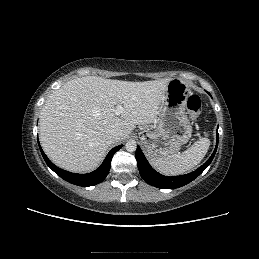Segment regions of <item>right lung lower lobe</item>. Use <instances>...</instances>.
I'll return each mask as SVG.
<instances>
[{"instance_id":"obj_1","label":"right lung lower lobe","mask_w":259,"mask_h":259,"mask_svg":"<svg viewBox=\"0 0 259 259\" xmlns=\"http://www.w3.org/2000/svg\"><path fill=\"white\" fill-rule=\"evenodd\" d=\"M38 144H39V142H38ZM39 147H40V151L42 153V156H43L45 162L47 163L49 168L52 169L57 175H59L61 178H63L64 180H66L67 182H70L72 184L82 186V187H88V186L99 184L106 178V176L109 173L110 167H111V159H112L113 155L115 154V152H117L122 147V145L114 147L107 154V156H106L105 160L103 161V163L101 164V166L98 169H96L95 171L88 173V174H76V173H71V172L58 168L47 158V156L43 152L40 144H39Z\"/></svg>"}]
</instances>
